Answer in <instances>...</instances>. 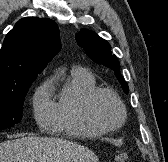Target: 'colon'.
Returning a JSON list of instances; mask_svg holds the SVG:
<instances>
[{
  "mask_svg": "<svg viewBox=\"0 0 168 162\" xmlns=\"http://www.w3.org/2000/svg\"><path fill=\"white\" fill-rule=\"evenodd\" d=\"M115 160L117 162H128V156L124 153H121L116 155Z\"/></svg>",
  "mask_w": 168,
  "mask_h": 162,
  "instance_id": "5ec220e1",
  "label": "colon"
}]
</instances>
